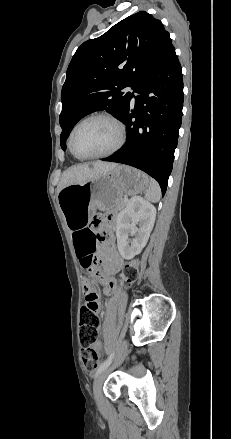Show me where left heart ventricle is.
Segmentation results:
<instances>
[{
	"mask_svg": "<svg viewBox=\"0 0 231 439\" xmlns=\"http://www.w3.org/2000/svg\"><path fill=\"white\" fill-rule=\"evenodd\" d=\"M117 138V129L110 121L95 118L78 127L74 134L73 147L80 155L98 154L113 147Z\"/></svg>",
	"mask_w": 231,
	"mask_h": 439,
	"instance_id": "b2bd125f",
	"label": "left heart ventricle"
}]
</instances>
